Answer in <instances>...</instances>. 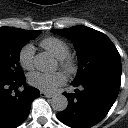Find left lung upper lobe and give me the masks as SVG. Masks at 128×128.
<instances>
[{
  "mask_svg": "<svg viewBox=\"0 0 128 128\" xmlns=\"http://www.w3.org/2000/svg\"><path fill=\"white\" fill-rule=\"evenodd\" d=\"M52 31L74 42L79 61L74 82L83 80L97 70H121L120 54L104 33L81 25Z\"/></svg>",
  "mask_w": 128,
  "mask_h": 128,
  "instance_id": "5c2ea615",
  "label": "left lung upper lobe"
}]
</instances>
